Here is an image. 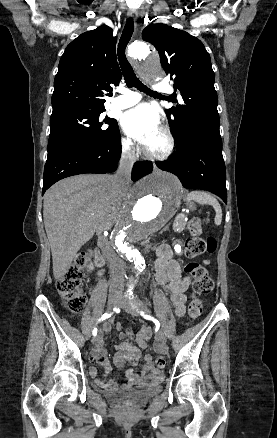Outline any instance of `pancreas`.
<instances>
[{"label": "pancreas", "mask_w": 277, "mask_h": 438, "mask_svg": "<svg viewBox=\"0 0 277 438\" xmlns=\"http://www.w3.org/2000/svg\"><path fill=\"white\" fill-rule=\"evenodd\" d=\"M174 219H175V224H173V226H172L173 233H182V231H183L182 223L187 222V219H188L187 215L186 214H176Z\"/></svg>", "instance_id": "cf45deb5"}]
</instances>
